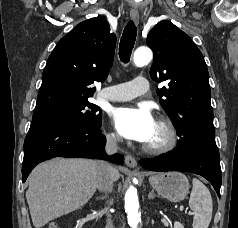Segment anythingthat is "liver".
I'll return each mask as SVG.
<instances>
[{"label": "liver", "mask_w": 238, "mask_h": 228, "mask_svg": "<svg viewBox=\"0 0 238 228\" xmlns=\"http://www.w3.org/2000/svg\"><path fill=\"white\" fill-rule=\"evenodd\" d=\"M99 172L100 162L90 159L57 158L35 167L26 191L34 227L41 228L85 205L98 187ZM112 177L119 179L117 169Z\"/></svg>", "instance_id": "1"}]
</instances>
